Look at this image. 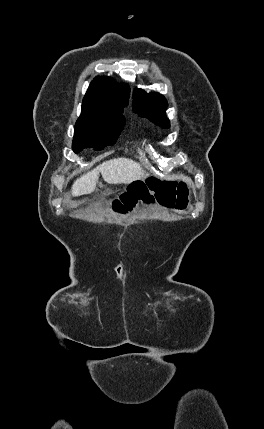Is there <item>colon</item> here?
I'll return each mask as SVG.
<instances>
[{
	"instance_id": "5ec220e1",
	"label": "colon",
	"mask_w": 264,
	"mask_h": 429,
	"mask_svg": "<svg viewBox=\"0 0 264 429\" xmlns=\"http://www.w3.org/2000/svg\"><path fill=\"white\" fill-rule=\"evenodd\" d=\"M188 194V187L184 183L138 181L113 201L112 208L119 213H126L140 203L149 204L156 201L169 208L184 209L188 204Z\"/></svg>"
}]
</instances>
